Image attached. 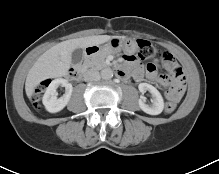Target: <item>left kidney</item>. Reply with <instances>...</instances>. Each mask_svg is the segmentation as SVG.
I'll use <instances>...</instances> for the list:
<instances>
[{
    "mask_svg": "<svg viewBox=\"0 0 219 174\" xmlns=\"http://www.w3.org/2000/svg\"><path fill=\"white\" fill-rule=\"evenodd\" d=\"M138 88L141 93L149 91L152 95V105L146 104L145 97L140 96L138 103L141 110L150 115L160 114L164 109V100L160 92L154 86L147 83H140Z\"/></svg>",
    "mask_w": 219,
    "mask_h": 174,
    "instance_id": "5707ae66",
    "label": "left kidney"
}]
</instances>
